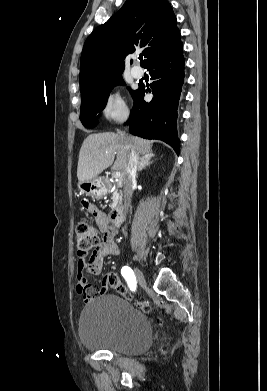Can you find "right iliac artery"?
<instances>
[{
  "instance_id": "right-iliac-artery-1",
  "label": "right iliac artery",
  "mask_w": 267,
  "mask_h": 391,
  "mask_svg": "<svg viewBox=\"0 0 267 391\" xmlns=\"http://www.w3.org/2000/svg\"><path fill=\"white\" fill-rule=\"evenodd\" d=\"M121 274L125 278V280L127 281L130 289L131 290H135V288H136V278H135V275H134L132 269L130 267H128V266H124L121 269Z\"/></svg>"
}]
</instances>
